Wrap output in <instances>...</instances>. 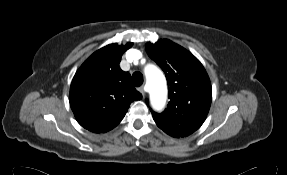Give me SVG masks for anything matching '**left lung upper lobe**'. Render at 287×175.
I'll use <instances>...</instances> for the list:
<instances>
[{"mask_svg": "<svg viewBox=\"0 0 287 175\" xmlns=\"http://www.w3.org/2000/svg\"><path fill=\"white\" fill-rule=\"evenodd\" d=\"M146 52L164 71L169 85V103L153 119L164 132L185 137L206 119L212 100L210 79L200 61L188 50L163 39L147 43Z\"/></svg>", "mask_w": 287, "mask_h": 175, "instance_id": "obj_1", "label": "left lung upper lobe"}]
</instances>
